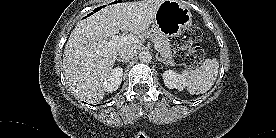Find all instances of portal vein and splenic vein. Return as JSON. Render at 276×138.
<instances>
[{
    "mask_svg": "<svg viewBox=\"0 0 276 138\" xmlns=\"http://www.w3.org/2000/svg\"><path fill=\"white\" fill-rule=\"evenodd\" d=\"M139 41V39L136 36L133 35H126V36H118L115 35L112 37V39L108 42V46H112V45H119L122 43H137ZM155 49L158 50V44L155 43Z\"/></svg>",
    "mask_w": 276,
    "mask_h": 138,
    "instance_id": "portal-vein-and-splenic-vein-1",
    "label": "portal vein and splenic vein"
}]
</instances>
